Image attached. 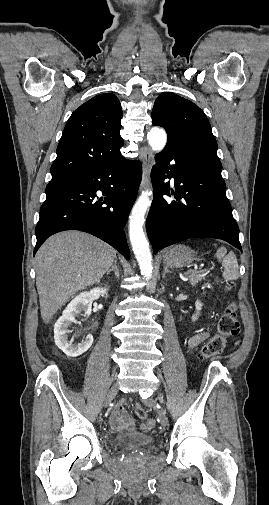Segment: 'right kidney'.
Instances as JSON below:
<instances>
[{"instance_id": "ca27d5eb", "label": "right kidney", "mask_w": 269, "mask_h": 505, "mask_svg": "<svg viewBox=\"0 0 269 505\" xmlns=\"http://www.w3.org/2000/svg\"><path fill=\"white\" fill-rule=\"evenodd\" d=\"M106 288H93L76 296L65 308L62 316L54 325V339L56 345L69 357H77L85 353L93 343V336L88 334L80 343L73 344L68 341V329L80 315L88 317L91 314L92 302L100 296H107ZM83 312V314H82Z\"/></svg>"}]
</instances>
